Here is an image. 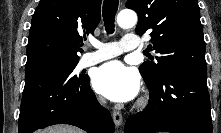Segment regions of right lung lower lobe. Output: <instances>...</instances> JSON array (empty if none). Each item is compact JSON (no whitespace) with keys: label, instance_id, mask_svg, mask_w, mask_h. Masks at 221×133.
Segmentation results:
<instances>
[{"label":"right lung lower lobe","instance_id":"1","mask_svg":"<svg viewBox=\"0 0 221 133\" xmlns=\"http://www.w3.org/2000/svg\"><path fill=\"white\" fill-rule=\"evenodd\" d=\"M60 123L88 133L114 132L111 115L98 103L88 76L75 80L57 68L26 72L19 133Z\"/></svg>","mask_w":221,"mask_h":133}]
</instances>
